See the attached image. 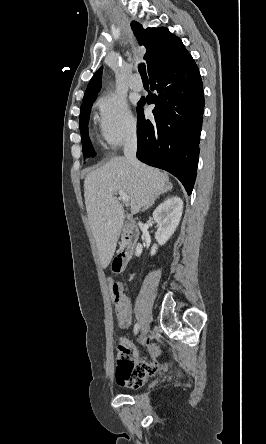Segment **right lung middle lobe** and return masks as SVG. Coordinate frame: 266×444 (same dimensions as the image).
Instances as JSON below:
<instances>
[{
	"label": "right lung middle lobe",
	"mask_w": 266,
	"mask_h": 444,
	"mask_svg": "<svg viewBox=\"0 0 266 444\" xmlns=\"http://www.w3.org/2000/svg\"><path fill=\"white\" fill-rule=\"evenodd\" d=\"M93 102H94V99L83 102V104L81 105V111H80V116H79L80 132H81L82 146H83V155L85 158L95 156L94 149L92 147V144H91L89 136H88V127H87L89 115H90V110H91Z\"/></svg>",
	"instance_id": "right-lung-middle-lobe-1"
}]
</instances>
